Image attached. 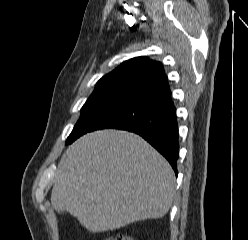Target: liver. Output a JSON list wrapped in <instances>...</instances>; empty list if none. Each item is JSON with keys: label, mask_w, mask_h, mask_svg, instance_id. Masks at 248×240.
<instances>
[{"label": "liver", "mask_w": 248, "mask_h": 240, "mask_svg": "<svg viewBox=\"0 0 248 240\" xmlns=\"http://www.w3.org/2000/svg\"><path fill=\"white\" fill-rule=\"evenodd\" d=\"M175 175L140 136L119 130L88 133L65 151L51 193L53 208L96 233L169 211Z\"/></svg>", "instance_id": "liver-1"}]
</instances>
